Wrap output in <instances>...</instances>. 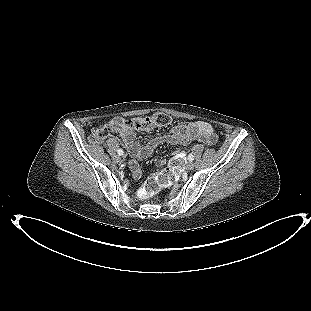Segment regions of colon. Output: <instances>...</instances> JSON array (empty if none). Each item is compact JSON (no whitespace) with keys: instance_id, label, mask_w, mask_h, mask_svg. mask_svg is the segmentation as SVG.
I'll return each mask as SVG.
<instances>
[{"instance_id":"1","label":"colon","mask_w":311,"mask_h":311,"mask_svg":"<svg viewBox=\"0 0 311 311\" xmlns=\"http://www.w3.org/2000/svg\"><path fill=\"white\" fill-rule=\"evenodd\" d=\"M171 122L172 118L164 113H156L150 117L123 119L122 122L116 120L93 129L90 135V141L93 143H100L108 137L118 134L122 127L149 130L156 127L167 126ZM177 170L178 163L173 159L166 169L144 182L139 191L140 198L151 197L158 193L163 187L171 184L175 180Z\"/></svg>"}]
</instances>
